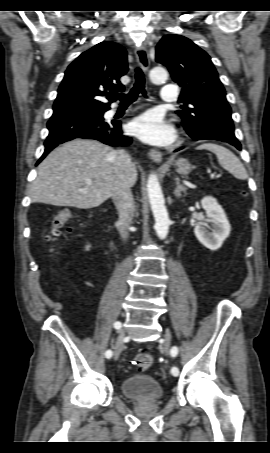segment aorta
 <instances>
[{
	"instance_id": "obj_1",
	"label": "aorta",
	"mask_w": 270,
	"mask_h": 453,
	"mask_svg": "<svg viewBox=\"0 0 270 453\" xmlns=\"http://www.w3.org/2000/svg\"><path fill=\"white\" fill-rule=\"evenodd\" d=\"M167 78L168 73L163 67H155L150 71V79L154 83L164 82ZM147 192L155 219V230L160 239H165L168 234L170 220L165 207L163 193L155 174H151L148 178Z\"/></svg>"
}]
</instances>
